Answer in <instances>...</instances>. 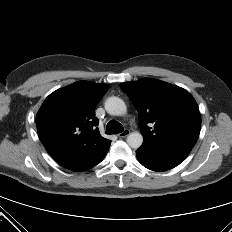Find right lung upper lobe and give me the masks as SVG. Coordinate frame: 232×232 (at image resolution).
<instances>
[{
	"label": "right lung upper lobe",
	"mask_w": 232,
	"mask_h": 232,
	"mask_svg": "<svg viewBox=\"0 0 232 232\" xmlns=\"http://www.w3.org/2000/svg\"><path fill=\"white\" fill-rule=\"evenodd\" d=\"M108 86L79 81L51 93L36 117L39 138L62 166L105 156L111 141L100 135L94 109Z\"/></svg>",
	"instance_id": "cb5924a9"
}]
</instances>
